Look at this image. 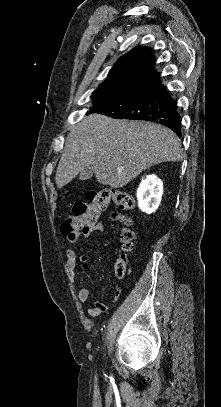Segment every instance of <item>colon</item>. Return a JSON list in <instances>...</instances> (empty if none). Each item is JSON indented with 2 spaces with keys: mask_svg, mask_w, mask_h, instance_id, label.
Wrapping results in <instances>:
<instances>
[{
  "mask_svg": "<svg viewBox=\"0 0 221 407\" xmlns=\"http://www.w3.org/2000/svg\"><path fill=\"white\" fill-rule=\"evenodd\" d=\"M88 202L76 203L73 213L66 218L60 227V231L66 237L76 240L81 235L97 233L99 229V214L105 211L110 202L119 210H129L134 206L132 195L115 187L105 188L99 191H92L87 196ZM115 218H119L118 213H114ZM122 222L129 224L130 218H121ZM119 240L122 250L129 251L133 248L134 232L123 227L119 232ZM115 275L122 278L125 274V260L118 259L114 267Z\"/></svg>",
  "mask_w": 221,
  "mask_h": 407,
  "instance_id": "colon-1",
  "label": "colon"
}]
</instances>
